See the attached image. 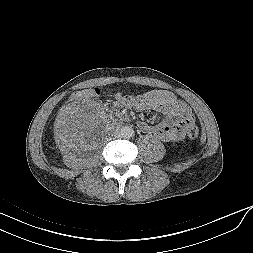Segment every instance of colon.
I'll list each match as a JSON object with an SVG mask.
<instances>
[{
	"label": "colon",
	"instance_id": "obj_1",
	"mask_svg": "<svg viewBox=\"0 0 253 253\" xmlns=\"http://www.w3.org/2000/svg\"><path fill=\"white\" fill-rule=\"evenodd\" d=\"M99 94V90L97 88H91L87 90H79L76 92H73L67 97V100L69 102H72L73 100L81 99L83 97L89 98V97H95ZM199 134V129L196 125L191 124L187 129V135L190 138H196Z\"/></svg>",
	"mask_w": 253,
	"mask_h": 253
}]
</instances>
